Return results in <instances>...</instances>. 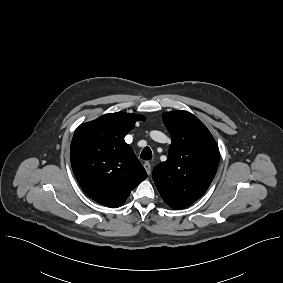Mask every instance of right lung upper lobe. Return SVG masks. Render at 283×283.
I'll return each mask as SVG.
<instances>
[{
  "instance_id": "cb5924a9",
  "label": "right lung upper lobe",
  "mask_w": 283,
  "mask_h": 283,
  "mask_svg": "<svg viewBox=\"0 0 283 283\" xmlns=\"http://www.w3.org/2000/svg\"><path fill=\"white\" fill-rule=\"evenodd\" d=\"M145 117L123 112L103 115L81 124L75 131L70 159L83 191L110 208L121 206L147 173L125 135Z\"/></svg>"
}]
</instances>
